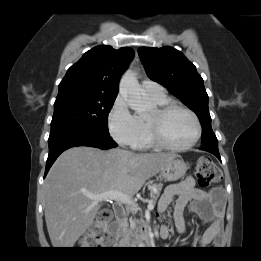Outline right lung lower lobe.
Listing matches in <instances>:
<instances>
[{
    "label": "right lung lower lobe",
    "instance_id": "98d812e1",
    "mask_svg": "<svg viewBox=\"0 0 261 261\" xmlns=\"http://www.w3.org/2000/svg\"><path fill=\"white\" fill-rule=\"evenodd\" d=\"M48 145L49 155L46 162L45 176L57 157L71 147L90 146L106 150L117 146L109 133L90 128H75L50 133Z\"/></svg>",
    "mask_w": 261,
    "mask_h": 261
}]
</instances>
